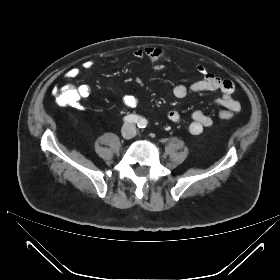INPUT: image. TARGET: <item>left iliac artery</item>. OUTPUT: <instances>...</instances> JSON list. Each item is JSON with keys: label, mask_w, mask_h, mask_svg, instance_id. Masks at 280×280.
I'll use <instances>...</instances> for the list:
<instances>
[{"label": "left iliac artery", "mask_w": 280, "mask_h": 280, "mask_svg": "<svg viewBox=\"0 0 280 280\" xmlns=\"http://www.w3.org/2000/svg\"><path fill=\"white\" fill-rule=\"evenodd\" d=\"M146 126H147V121L144 118L140 119V121L138 122V127L145 128Z\"/></svg>", "instance_id": "obj_1"}]
</instances>
